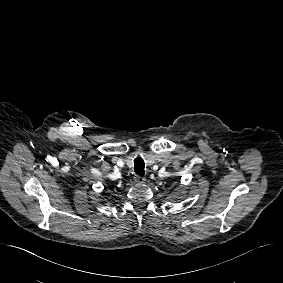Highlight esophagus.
I'll return each instance as SVG.
<instances>
[{
	"label": "esophagus",
	"instance_id": "34e87169",
	"mask_svg": "<svg viewBox=\"0 0 283 283\" xmlns=\"http://www.w3.org/2000/svg\"><path fill=\"white\" fill-rule=\"evenodd\" d=\"M146 181V178L145 177H142V176H134V182L137 184V185H141V184H144Z\"/></svg>",
	"mask_w": 283,
	"mask_h": 283
}]
</instances>
